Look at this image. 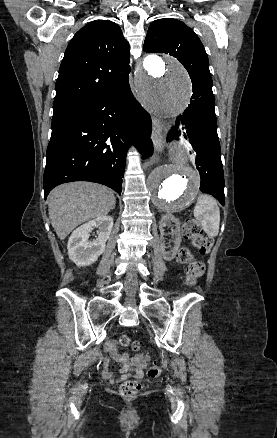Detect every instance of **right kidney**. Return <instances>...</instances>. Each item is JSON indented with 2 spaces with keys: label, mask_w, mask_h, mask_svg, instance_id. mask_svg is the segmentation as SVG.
Wrapping results in <instances>:
<instances>
[{
  "label": "right kidney",
  "mask_w": 277,
  "mask_h": 438,
  "mask_svg": "<svg viewBox=\"0 0 277 438\" xmlns=\"http://www.w3.org/2000/svg\"><path fill=\"white\" fill-rule=\"evenodd\" d=\"M113 224L111 216H99V218L76 228L67 244L69 260H72L76 266L94 264L98 260V256H101L105 250V244L112 232ZM93 228H98V238L89 242L90 232Z\"/></svg>",
  "instance_id": "1"
}]
</instances>
